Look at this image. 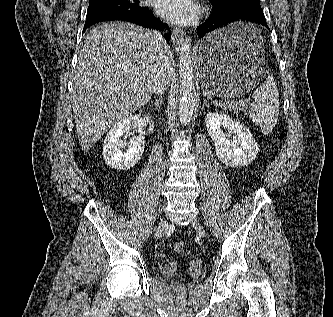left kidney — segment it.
Instances as JSON below:
<instances>
[{
	"mask_svg": "<svg viewBox=\"0 0 333 317\" xmlns=\"http://www.w3.org/2000/svg\"><path fill=\"white\" fill-rule=\"evenodd\" d=\"M205 125L214 142L217 157L226 166H245L256 158L258 143L243 124L225 113L210 112L205 117ZM225 130L230 131L233 140H229Z\"/></svg>",
	"mask_w": 333,
	"mask_h": 317,
	"instance_id": "left-kidney-1",
	"label": "left kidney"
}]
</instances>
